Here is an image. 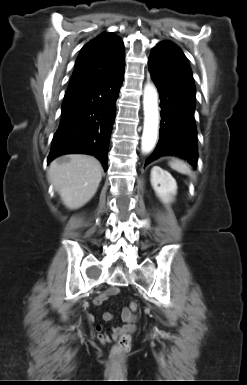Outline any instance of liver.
<instances>
[{
	"instance_id": "1",
	"label": "liver",
	"mask_w": 247,
	"mask_h": 385,
	"mask_svg": "<svg viewBox=\"0 0 247 385\" xmlns=\"http://www.w3.org/2000/svg\"><path fill=\"white\" fill-rule=\"evenodd\" d=\"M102 172L96 158L70 154L50 163L48 177L63 204L69 209H78L95 195Z\"/></svg>"
}]
</instances>
